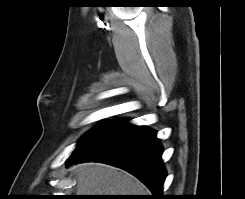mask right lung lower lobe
Segmentation results:
<instances>
[{"mask_svg":"<svg viewBox=\"0 0 245 199\" xmlns=\"http://www.w3.org/2000/svg\"><path fill=\"white\" fill-rule=\"evenodd\" d=\"M162 152L155 131L123 121L101 139L73 153L66 165L96 161L122 168L149 188L153 194L150 199H165Z\"/></svg>","mask_w":245,"mask_h":199,"instance_id":"obj_1","label":"right lung lower lobe"}]
</instances>
